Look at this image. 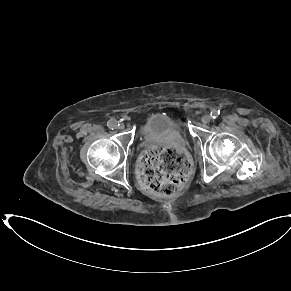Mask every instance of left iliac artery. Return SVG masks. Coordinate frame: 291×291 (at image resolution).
Returning a JSON list of instances; mask_svg holds the SVG:
<instances>
[{
  "label": "left iliac artery",
  "mask_w": 291,
  "mask_h": 291,
  "mask_svg": "<svg viewBox=\"0 0 291 291\" xmlns=\"http://www.w3.org/2000/svg\"><path fill=\"white\" fill-rule=\"evenodd\" d=\"M220 114V110H213L210 115L212 119H216Z\"/></svg>",
  "instance_id": "obj_1"
}]
</instances>
